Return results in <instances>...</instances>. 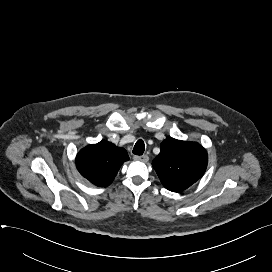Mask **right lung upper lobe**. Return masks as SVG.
<instances>
[{
  "mask_svg": "<svg viewBox=\"0 0 272 272\" xmlns=\"http://www.w3.org/2000/svg\"><path fill=\"white\" fill-rule=\"evenodd\" d=\"M129 160L124 148L102 140L88 145L77 154L80 174L96 186L106 187L114 180L121 165Z\"/></svg>",
  "mask_w": 272,
  "mask_h": 272,
  "instance_id": "right-lung-upper-lobe-1",
  "label": "right lung upper lobe"
}]
</instances>
